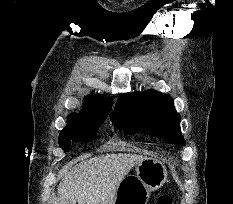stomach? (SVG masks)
Masks as SVG:
<instances>
[{
    "mask_svg": "<svg viewBox=\"0 0 233 204\" xmlns=\"http://www.w3.org/2000/svg\"><path fill=\"white\" fill-rule=\"evenodd\" d=\"M135 169L136 176H127L119 184L113 204H147L151 191L167 180L166 167L157 159L145 157Z\"/></svg>",
    "mask_w": 233,
    "mask_h": 204,
    "instance_id": "1",
    "label": "stomach"
}]
</instances>
